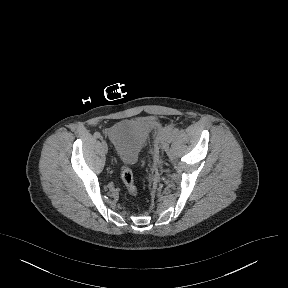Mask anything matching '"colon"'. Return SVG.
Returning <instances> with one entry per match:
<instances>
[{
  "label": "colon",
  "instance_id": "1",
  "mask_svg": "<svg viewBox=\"0 0 288 288\" xmlns=\"http://www.w3.org/2000/svg\"><path fill=\"white\" fill-rule=\"evenodd\" d=\"M121 178L122 181L127 189V191L135 196L137 194V187L134 181V175L130 168L124 167L121 171Z\"/></svg>",
  "mask_w": 288,
  "mask_h": 288
}]
</instances>
